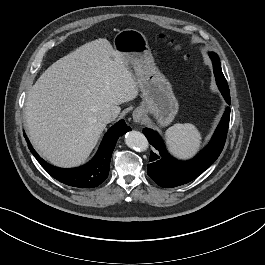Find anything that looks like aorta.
<instances>
[{"label": "aorta", "mask_w": 265, "mask_h": 265, "mask_svg": "<svg viewBox=\"0 0 265 265\" xmlns=\"http://www.w3.org/2000/svg\"><path fill=\"white\" fill-rule=\"evenodd\" d=\"M125 143L129 148L144 151L148 148V140L143 133L132 130L125 134Z\"/></svg>", "instance_id": "aorta-1"}]
</instances>
